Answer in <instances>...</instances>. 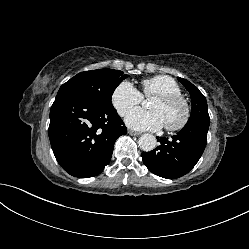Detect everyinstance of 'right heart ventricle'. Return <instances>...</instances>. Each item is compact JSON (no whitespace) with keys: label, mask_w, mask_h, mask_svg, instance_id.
Returning <instances> with one entry per match:
<instances>
[{"label":"right heart ventricle","mask_w":249,"mask_h":249,"mask_svg":"<svg viewBox=\"0 0 249 249\" xmlns=\"http://www.w3.org/2000/svg\"><path fill=\"white\" fill-rule=\"evenodd\" d=\"M142 96L155 97L162 94L181 95L179 84L170 76L156 75L141 82Z\"/></svg>","instance_id":"e07e8e85"}]
</instances>
